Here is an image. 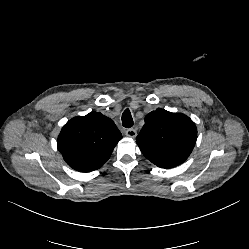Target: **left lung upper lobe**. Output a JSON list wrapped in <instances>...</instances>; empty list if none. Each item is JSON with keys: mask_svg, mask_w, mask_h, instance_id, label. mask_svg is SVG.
<instances>
[{"mask_svg": "<svg viewBox=\"0 0 249 249\" xmlns=\"http://www.w3.org/2000/svg\"><path fill=\"white\" fill-rule=\"evenodd\" d=\"M197 140L194 122L182 113L164 109L152 111L136 138L143 155L161 168L183 163Z\"/></svg>", "mask_w": 249, "mask_h": 249, "instance_id": "1", "label": "left lung upper lobe"}]
</instances>
